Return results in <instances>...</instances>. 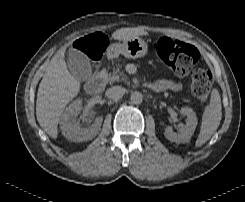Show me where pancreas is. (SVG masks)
I'll return each mask as SVG.
<instances>
[{"label":"pancreas","mask_w":245,"mask_h":202,"mask_svg":"<svg viewBox=\"0 0 245 202\" xmlns=\"http://www.w3.org/2000/svg\"><path fill=\"white\" fill-rule=\"evenodd\" d=\"M120 67L121 66L119 65L116 69L113 70L112 74L109 75L107 79L109 83H113L115 81H120V80L122 81L126 80L127 76L124 73V71L120 70Z\"/></svg>","instance_id":"pancreas-1"}]
</instances>
